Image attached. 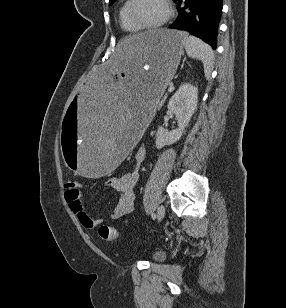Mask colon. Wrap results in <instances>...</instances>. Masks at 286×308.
I'll return each instance as SVG.
<instances>
[{"instance_id":"1","label":"colon","mask_w":286,"mask_h":308,"mask_svg":"<svg viewBox=\"0 0 286 308\" xmlns=\"http://www.w3.org/2000/svg\"><path fill=\"white\" fill-rule=\"evenodd\" d=\"M79 183L74 180L67 181L65 188L67 190H78ZM100 237L107 242H114L118 238V233L115 228L109 226H102L99 229Z\"/></svg>"}]
</instances>
